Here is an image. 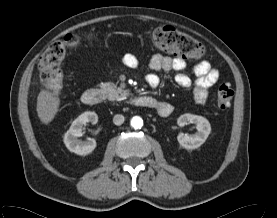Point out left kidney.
Here are the masks:
<instances>
[{
    "label": "left kidney",
    "instance_id": "5707ae66",
    "mask_svg": "<svg viewBox=\"0 0 277 218\" xmlns=\"http://www.w3.org/2000/svg\"><path fill=\"white\" fill-rule=\"evenodd\" d=\"M189 123L196 125L197 132L194 134L180 133L177 136L179 144L185 149H196L200 147L208 138L211 132V125L209 121L203 116L186 113L181 115L177 124L183 127Z\"/></svg>",
    "mask_w": 277,
    "mask_h": 218
}]
</instances>
